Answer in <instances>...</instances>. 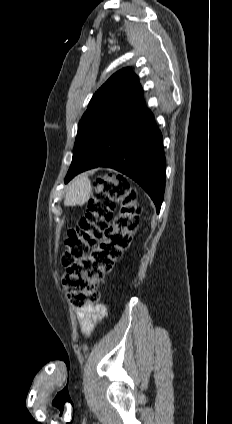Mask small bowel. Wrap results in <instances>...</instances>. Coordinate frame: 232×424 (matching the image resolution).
Returning <instances> with one entry per match:
<instances>
[{"instance_id":"1","label":"small bowel","mask_w":232,"mask_h":424,"mask_svg":"<svg viewBox=\"0 0 232 424\" xmlns=\"http://www.w3.org/2000/svg\"><path fill=\"white\" fill-rule=\"evenodd\" d=\"M107 315V308L104 304H94L85 309H79L76 312V318L85 337L91 336L95 327Z\"/></svg>"}]
</instances>
